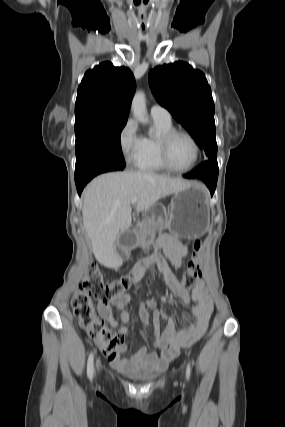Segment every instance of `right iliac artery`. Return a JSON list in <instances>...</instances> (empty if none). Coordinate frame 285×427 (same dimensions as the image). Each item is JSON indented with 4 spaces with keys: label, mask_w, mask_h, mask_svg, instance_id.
Returning a JSON list of instances; mask_svg holds the SVG:
<instances>
[{
    "label": "right iliac artery",
    "mask_w": 285,
    "mask_h": 427,
    "mask_svg": "<svg viewBox=\"0 0 285 427\" xmlns=\"http://www.w3.org/2000/svg\"><path fill=\"white\" fill-rule=\"evenodd\" d=\"M93 372H94V370H93V354L91 353L89 355L88 362H87V375H88L89 379H92Z\"/></svg>",
    "instance_id": "82829eb1"
}]
</instances>
